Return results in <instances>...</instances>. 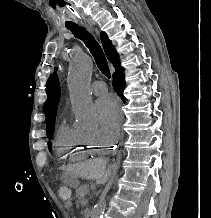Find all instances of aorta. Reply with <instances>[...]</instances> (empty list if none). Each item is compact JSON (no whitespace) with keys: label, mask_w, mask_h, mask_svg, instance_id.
I'll return each instance as SVG.
<instances>
[{"label":"aorta","mask_w":211,"mask_h":218,"mask_svg":"<svg viewBox=\"0 0 211 218\" xmlns=\"http://www.w3.org/2000/svg\"><path fill=\"white\" fill-rule=\"evenodd\" d=\"M92 69L93 63L89 56H77L70 65L67 80L77 126L83 130H95L98 127L97 113L88 89ZM105 208L106 200L101 197L92 208L90 218H103Z\"/></svg>","instance_id":"1"}]
</instances>
